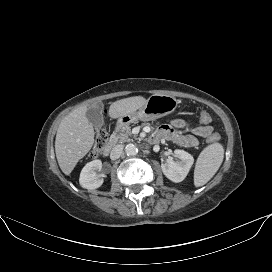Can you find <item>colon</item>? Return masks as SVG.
<instances>
[{
	"instance_id": "1",
	"label": "colon",
	"mask_w": 272,
	"mask_h": 272,
	"mask_svg": "<svg viewBox=\"0 0 272 272\" xmlns=\"http://www.w3.org/2000/svg\"><path fill=\"white\" fill-rule=\"evenodd\" d=\"M199 120L203 125H208L211 121V117L207 112H201L199 115ZM108 139V133L105 128H99L96 132L95 144L91 152L92 156H97L100 154L102 148L106 144ZM219 139L217 134H212L209 138V142H215Z\"/></svg>"
}]
</instances>
